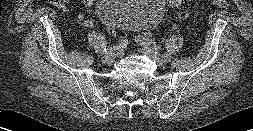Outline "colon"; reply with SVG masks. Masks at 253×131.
Returning <instances> with one entry per match:
<instances>
[{"label":"colon","instance_id":"obj_1","mask_svg":"<svg viewBox=\"0 0 253 131\" xmlns=\"http://www.w3.org/2000/svg\"><path fill=\"white\" fill-rule=\"evenodd\" d=\"M186 1L187 0H167V5L169 9L175 10L180 8L184 3H186ZM212 7L219 9H227L229 7V3L227 0H213ZM106 31L111 37L116 36L115 28L107 26Z\"/></svg>","mask_w":253,"mask_h":131}]
</instances>
